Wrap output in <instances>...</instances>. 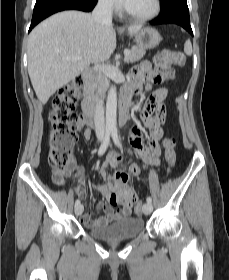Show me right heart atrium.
Returning a JSON list of instances; mask_svg holds the SVG:
<instances>
[{
    "label": "right heart atrium",
    "mask_w": 229,
    "mask_h": 280,
    "mask_svg": "<svg viewBox=\"0 0 229 280\" xmlns=\"http://www.w3.org/2000/svg\"><path fill=\"white\" fill-rule=\"evenodd\" d=\"M99 2L102 7L109 12H115L119 9L117 0H99Z\"/></svg>",
    "instance_id": "1"
}]
</instances>
